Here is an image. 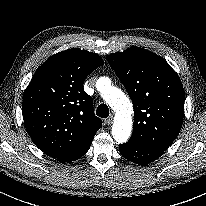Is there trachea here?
I'll list each match as a JSON object with an SVG mask.
<instances>
[{
	"instance_id": "1",
	"label": "trachea",
	"mask_w": 206,
	"mask_h": 206,
	"mask_svg": "<svg viewBox=\"0 0 206 206\" xmlns=\"http://www.w3.org/2000/svg\"><path fill=\"white\" fill-rule=\"evenodd\" d=\"M96 115L101 117V118L108 117L109 116V108H108V106L106 104H100L97 107Z\"/></svg>"
}]
</instances>
